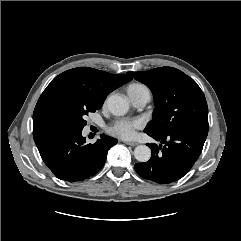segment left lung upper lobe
Returning a JSON list of instances; mask_svg holds the SVG:
<instances>
[{"mask_svg": "<svg viewBox=\"0 0 241 241\" xmlns=\"http://www.w3.org/2000/svg\"><path fill=\"white\" fill-rule=\"evenodd\" d=\"M129 74L147 85L154 95L156 108L146 133L163 135L196 125L208 126L205 96L197 83L182 71L159 67Z\"/></svg>", "mask_w": 241, "mask_h": 241, "instance_id": "obj_1", "label": "left lung upper lobe"}]
</instances>
